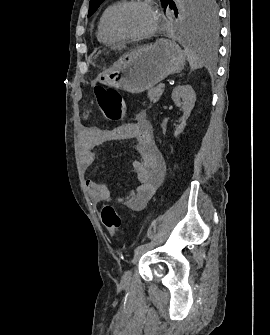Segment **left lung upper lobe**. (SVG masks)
I'll return each instance as SVG.
<instances>
[{"instance_id":"obj_1","label":"left lung upper lobe","mask_w":270,"mask_h":335,"mask_svg":"<svg viewBox=\"0 0 270 335\" xmlns=\"http://www.w3.org/2000/svg\"><path fill=\"white\" fill-rule=\"evenodd\" d=\"M104 0H90L88 17L91 16ZM163 7L170 5L179 22L186 28L199 31H216L217 10L214 0H180L178 8L170 0H160Z\"/></svg>"}]
</instances>
